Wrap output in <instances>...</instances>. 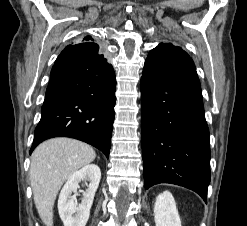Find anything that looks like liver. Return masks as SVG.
<instances>
[{"label":"liver","mask_w":247,"mask_h":226,"mask_svg":"<svg viewBox=\"0 0 247 226\" xmlns=\"http://www.w3.org/2000/svg\"><path fill=\"white\" fill-rule=\"evenodd\" d=\"M95 157L91 146L69 138L47 140L34 150L30 181L36 209L46 226H53V206L64 182Z\"/></svg>","instance_id":"6515ba94"}]
</instances>
